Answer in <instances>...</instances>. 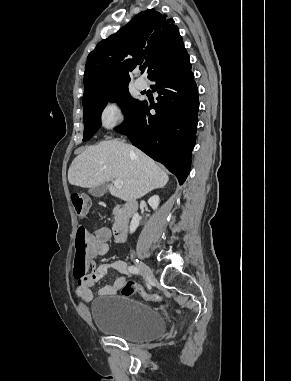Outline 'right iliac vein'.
Segmentation results:
<instances>
[{
	"mask_svg": "<svg viewBox=\"0 0 291 381\" xmlns=\"http://www.w3.org/2000/svg\"><path fill=\"white\" fill-rule=\"evenodd\" d=\"M136 266L146 275V277L149 280H151V281L154 280V275H153L152 270L145 263H143L141 261H137Z\"/></svg>",
	"mask_w": 291,
	"mask_h": 381,
	"instance_id": "obj_1",
	"label": "right iliac vein"
}]
</instances>
